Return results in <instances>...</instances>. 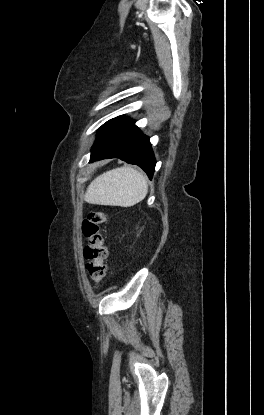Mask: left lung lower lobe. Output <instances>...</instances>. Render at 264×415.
Here are the masks:
<instances>
[{"label":"left lung lower lobe","mask_w":264,"mask_h":415,"mask_svg":"<svg viewBox=\"0 0 264 415\" xmlns=\"http://www.w3.org/2000/svg\"><path fill=\"white\" fill-rule=\"evenodd\" d=\"M134 123L132 119L118 116L103 124L98 129L90 160L120 158L140 166L151 179L156 164L155 157L149 138Z\"/></svg>","instance_id":"obj_1"}]
</instances>
